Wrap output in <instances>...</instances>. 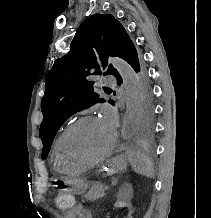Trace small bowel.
I'll use <instances>...</instances> for the list:
<instances>
[{
	"mask_svg": "<svg viewBox=\"0 0 211 218\" xmlns=\"http://www.w3.org/2000/svg\"><path fill=\"white\" fill-rule=\"evenodd\" d=\"M73 215H76L78 218H92L90 212L85 209L82 205H77L71 211ZM125 218H133L131 214L127 215Z\"/></svg>",
	"mask_w": 211,
	"mask_h": 218,
	"instance_id": "small-bowel-1",
	"label": "small bowel"
}]
</instances>
